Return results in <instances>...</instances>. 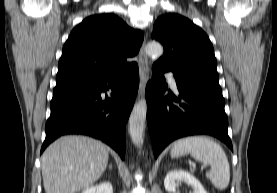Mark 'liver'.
<instances>
[{"mask_svg": "<svg viewBox=\"0 0 277 193\" xmlns=\"http://www.w3.org/2000/svg\"><path fill=\"white\" fill-rule=\"evenodd\" d=\"M107 146L87 136H64L43 153L41 168L46 193H77L92 186L105 171Z\"/></svg>", "mask_w": 277, "mask_h": 193, "instance_id": "6515ba94", "label": "liver"}]
</instances>
